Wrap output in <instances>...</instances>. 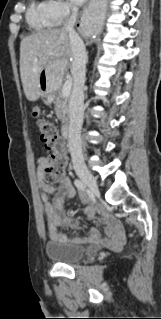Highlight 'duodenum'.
<instances>
[{"label": "duodenum", "mask_w": 161, "mask_h": 319, "mask_svg": "<svg viewBox=\"0 0 161 319\" xmlns=\"http://www.w3.org/2000/svg\"><path fill=\"white\" fill-rule=\"evenodd\" d=\"M62 134L64 139L69 143L71 140V128L68 123H65L62 127Z\"/></svg>", "instance_id": "duodenum-1"}]
</instances>
